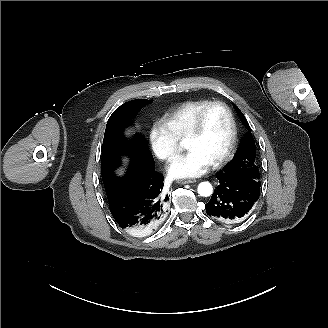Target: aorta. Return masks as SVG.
<instances>
[{
    "label": "aorta",
    "mask_w": 328,
    "mask_h": 328,
    "mask_svg": "<svg viewBox=\"0 0 328 328\" xmlns=\"http://www.w3.org/2000/svg\"><path fill=\"white\" fill-rule=\"evenodd\" d=\"M198 193L203 197H209L213 193V187L209 182H201L198 185Z\"/></svg>",
    "instance_id": "obj_1"
}]
</instances>
